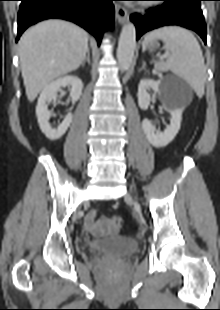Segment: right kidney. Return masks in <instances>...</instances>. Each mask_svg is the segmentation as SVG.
<instances>
[{
	"label": "right kidney",
	"instance_id": "ca27d5eb",
	"mask_svg": "<svg viewBox=\"0 0 220 310\" xmlns=\"http://www.w3.org/2000/svg\"><path fill=\"white\" fill-rule=\"evenodd\" d=\"M67 86L70 87V97L72 101H77L82 94L83 83L81 79L73 75H66L50 82L44 87L38 99L36 106L38 124L41 131L50 140L61 138L69 128L73 119L72 113L69 112L62 123L56 128H52L49 123L50 112L48 111V104L56 99L58 91Z\"/></svg>",
	"mask_w": 220,
	"mask_h": 310
}]
</instances>
